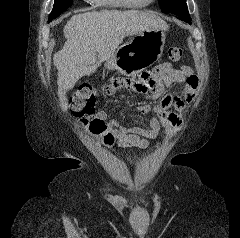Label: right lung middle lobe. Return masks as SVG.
<instances>
[{"instance_id":"1","label":"right lung middle lobe","mask_w":240,"mask_h":238,"mask_svg":"<svg viewBox=\"0 0 240 238\" xmlns=\"http://www.w3.org/2000/svg\"><path fill=\"white\" fill-rule=\"evenodd\" d=\"M73 3V0H54V6L52 12L49 15L48 22L58 17L63 11L69 8Z\"/></svg>"}]
</instances>
